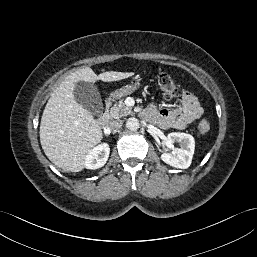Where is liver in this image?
Wrapping results in <instances>:
<instances>
[{"mask_svg":"<svg viewBox=\"0 0 257 257\" xmlns=\"http://www.w3.org/2000/svg\"><path fill=\"white\" fill-rule=\"evenodd\" d=\"M133 75V72L108 71L97 76L90 67H86L71 73L55 89L40 123L42 149L53 164L64 171L83 170L86 155L103 138L101 127L93 115L74 98L76 83L112 82Z\"/></svg>","mask_w":257,"mask_h":257,"instance_id":"1","label":"liver"}]
</instances>
